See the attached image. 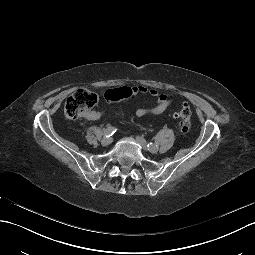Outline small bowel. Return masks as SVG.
<instances>
[{"label": "small bowel", "instance_id": "c3829d8e", "mask_svg": "<svg viewBox=\"0 0 255 255\" xmlns=\"http://www.w3.org/2000/svg\"><path fill=\"white\" fill-rule=\"evenodd\" d=\"M133 93L149 95L156 99V104L151 108L141 107L134 111L135 116L143 117L148 114L160 115L162 114L173 102V98L167 93L160 92L156 89H147L142 86L134 87ZM104 110H93L85 113L82 118L90 121L98 120L104 115Z\"/></svg>", "mask_w": 255, "mask_h": 255}]
</instances>
